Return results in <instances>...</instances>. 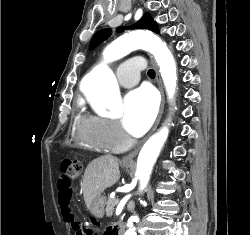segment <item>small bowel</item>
Listing matches in <instances>:
<instances>
[{
	"instance_id": "1",
	"label": "small bowel",
	"mask_w": 250,
	"mask_h": 235,
	"mask_svg": "<svg viewBox=\"0 0 250 235\" xmlns=\"http://www.w3.org/2000/svg\"><path fill=\"white\" fill-rule=\"evenodd\" d=\"M71 196V191H66L60 188L58 189L57 203L64 218L69 214L70 211Z\"/></svg>"
}]
</instances>
